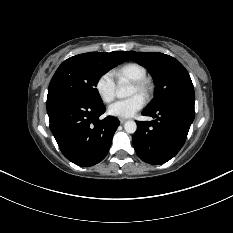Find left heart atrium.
Returning <instances> with one entry per match:
<instances>
[{
    "label": "left heart atrium",
    "mask_w": 233,
    "mask_h": 233,
    "mask_svg": "<svg viewBox=\"0 0 233 233\" xmlns=\"http://www.w3.org/2000/svg\"><path fill=\"white\" fill-rule=\"evenodd\" d=\"M144 106V99L136 94L125 100H120L108 107V114L119 118H130Z\"/></svg>",
    "instance_id": "obj_1"
}]
</instances>
